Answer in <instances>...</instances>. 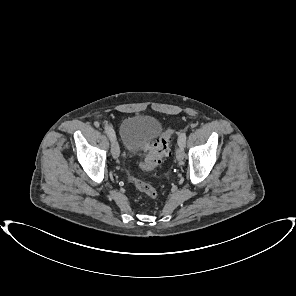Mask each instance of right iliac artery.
Instances as JSON below:
<instances>
[{"instance_id": "right-iliac-artery-1", "label": "right iliac artery", "mask_w": 296, "mask_h": 296, "mask_svg": "<svg viewBox=\"0 0 296 296\" xmlns=\"http://www.w3.org/2000/svg\"><path fill=\"white\" fill-rule=\"evenodd\" d=\"M105 133L111 138L115 136V132L111 126H105Z\"/></svg>"}]
</instances>
